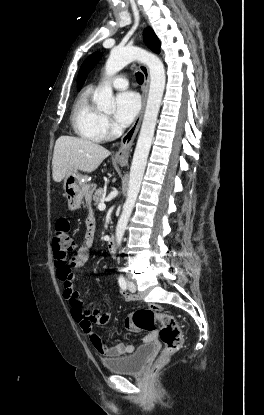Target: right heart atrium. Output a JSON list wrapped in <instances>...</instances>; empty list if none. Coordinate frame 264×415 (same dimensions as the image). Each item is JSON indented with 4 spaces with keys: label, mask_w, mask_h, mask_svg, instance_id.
<instances>
[{
    "label": "right heart atrium",
    "mask_w": 264,
    "mask_h": 415,
    "mask_svg": "<svg viewBox=\"0 0 264 415\" xmlns=\"http://www.w3.org/2000/svg\"><path fill=\"white\" fill-rule=\"evenodd\" d=\"M103 129L106 135H113L115 133V127L112 121L108 117H103Z\"/></svg>",
    "instance_id": "1"
}]
</instances>
